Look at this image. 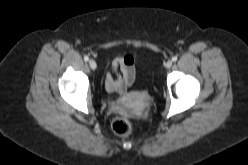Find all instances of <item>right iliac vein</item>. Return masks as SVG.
<instances>
[{
  "mask_svg": "<svg viewBox=\"0 0 248 165\" xmlns=\"http://www.w3.org/2000/svg\"><path fill=\"white\" fill-rule=\"evenodd\" d=\"M89 66L91 67V69H96L97 64L93 59H91L89 60Z\"/></svg>",
  "mask_w": 248,
  "mask_h": 165,
  "instance_id": "right-iliac-vein-1",
  "label": "right iliac vein"
}]
</instances>
